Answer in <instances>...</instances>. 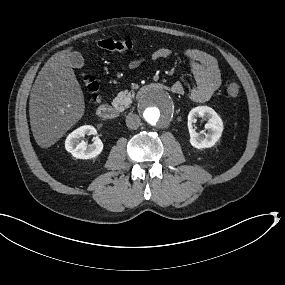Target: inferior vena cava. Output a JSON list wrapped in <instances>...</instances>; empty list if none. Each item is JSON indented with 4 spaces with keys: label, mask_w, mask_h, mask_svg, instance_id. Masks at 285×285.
Segmentation results:
<instances>
[{
    "label": "inferior vena cava",
    "mask_w": 285,
    "mask_h": 285,
    "mask_svg": "<svg viewBox=\"0 0 285 285\" xmlns=\"http://www.w3.org/2000/svg\"><path fill=\"white\" fill-rule=\"evenodd\" d=\"M126 125L131 130L138 129L141 125L140 117L136 114H128L126 117Z\"/></svg>",
    "instance_id": "602c4592"
}]
</instances>
